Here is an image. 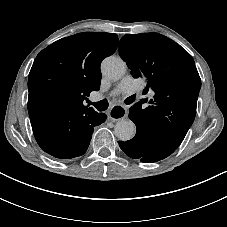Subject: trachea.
<instances>
[{"mask_svg":"<svg viewBox=\"0 0 227 227\" xmlns=\"http://www.w3.org/2000/svg\"><path fill=\"white\" fill-rule=\"evenodd\" d=\"M135 99H136V95L134 94V95L126 98L124 103L129 105L132 102H134ZM89 104L95 106L98 111L106 110L108 108V105H109L108 100L106 98H104L103 100H100L98 102H89Z\"/></svg>","mask_w":227,"mask_h":227,"instance_id":"obj_1","label":"trachea"}]
</instances>
